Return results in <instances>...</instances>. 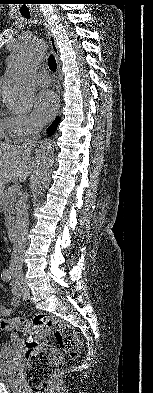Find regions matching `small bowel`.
<instances>
[{
	"mask_svg": "<svg viewBox=\"0 0 153 393\" xmlns=\"http://www.w3.org/2000/svg\"><path fill=\"white\" fill-rule=\"evenodd\" d=\"M20 303L21 301L18 297H13L10 300L11 308H6L5 306L0 304V317H4L11 314L16 308L20 306Z\"/></svg>",
	"mask_w": 153,
	"mask_h": 393,
	"instance_id": "1",
	"label": "small bowel"
}]
</instances>
